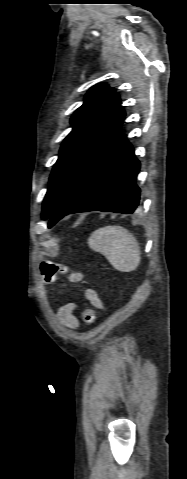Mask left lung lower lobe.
Returning a JSON list of instances; mask_svg holds the SVG:
<instances>
[{
	"label": "left lung lower lobe",
	"mask_w": 187,
	"mask_h": 479,
	"mask_svg": "<svg viewBox=\"0 0 187 479\" xmlns=\"http://www.w3.org/2000/svg\"><path fill=\"white\" fill-rule=\"evenodd\" d=\"M140 162L125 135L95 160L52 213L48 227L68 214L88 211L132 214L139 205Z\"/></svg>",
	"instance_id": "obj_1"
}]
</instances>
